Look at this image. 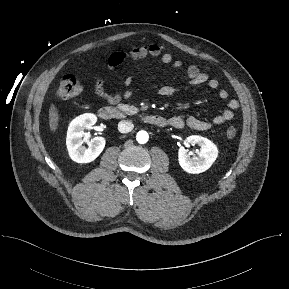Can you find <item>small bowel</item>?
Wrapping results in <instances>:
<instances>
[{
	"instance_id": "obj_1",
	"label": "small bowel",
	"mask_w": 289,
	"mask_h": 289,
	"mask_svg": "<svg viewBox=\"0 0 289 289\" xmlns=\"http://www.w3.org/2000/svg\"><path fill=\"white\" fill-rule=\"evenodd\" d=\"M147 57L159 58L162 64L172 65L175 68H181L183 65L180 60H174L171 54L163 52L162 47L155 43L136 46L123 51L114 52L109 56L107 65L109 69H114L125 61H136ZM186 75L189 78L188 84L190 86L207 85L209 88L214 90L219 88V81L215 78H210L208 74L202 72L196 65H188L186 67ZM104 83L105 80L103 78H100L95 82L94 87L97 94L111 102L118 101L122 95L117 94L113 97H108L104 93ZM176 92L177 89L170 85L162 86L158 90V94L162 97H170ZM123 96L125 98L130 97L131 91L126 90L123 93ZM218 97L222 100H226L229 97V93L225 89H219ZM238 108L239 102L236 99H230L228 101V107L221 114L215 116L210 121L202 120L194 116H173L168 119V124L176 129L188 127L194 130L203 131L211 128L214 125H222L232 120L234 117V111Z\"/></svg>"
}]
</instances>
